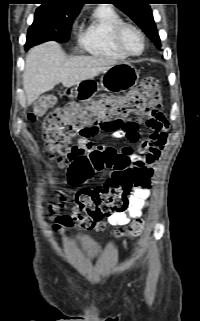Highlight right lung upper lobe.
Instances as JSON below:
<instances>
[{"label":"right lung upper lobe","instance_id":"1","mask_svg":"<svg viewBox=\"0 0 200 321\" xmlns=\"http://www.w3.org/2000/svg\"><path fill=\"white\" fill-rule=\"evenodd\" d=\"M87 0H41L40 7H47L55 14L79 12Z\"/></svg>","mask_w":200,"mask_h":321}]
</instances>
